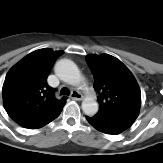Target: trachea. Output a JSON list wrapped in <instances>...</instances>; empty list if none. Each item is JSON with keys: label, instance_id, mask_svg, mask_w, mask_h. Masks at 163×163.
<instances>
[{"label": "trachea", "instance_id": "3493384b", "mask_svg": "<svg viewBox=\"0 0 163 163\" xmlns=\"http://www.w3.org/2000/svg\"><path fill=\"white\" fill-rule=\"evenodd\" d=\"M61 95H70V90L66 87H63L60 91Z\"/></svg>", "mask_w": 163, "mask_h": 163}]
</instances>
